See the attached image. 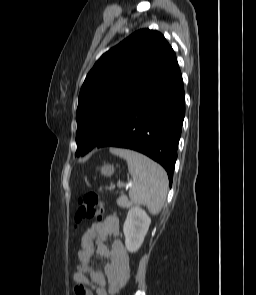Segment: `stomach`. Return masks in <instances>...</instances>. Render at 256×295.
Returning <instances> with one entry per match:
<instances>
[{
  "instance_id": "obj_1",
  "label": "stomach",
  "mask_w": 256,
  "mask_h": 295,
  "mask_svg": "<svg viewBox=\"0 0 256 295\" xmlns=\"http://www.w3.org/2000/svg\"><path fill=\"white\" fill-rule=\"evenodd\" d=\"M100 172L104 176H111L114 173V166L113 165H104L101 167Z\"/></svg>"
}]
</instances>
